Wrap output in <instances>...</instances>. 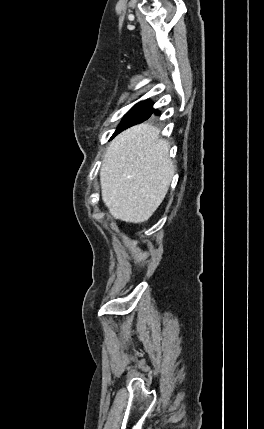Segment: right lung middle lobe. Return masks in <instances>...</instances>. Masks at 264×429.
<instances>
[{
  "mask_svg": "<svg viewBox=\"0 0 264 429\" xmlns=\"http://www.w3.org/2000/svg\"><path fill=\"white\" fill-rule=\"evenodd\" d=\"M152 110V102L146 100L135 105L123 118L114 135L131 124L146 120Z\"/></svg>",
  "mask_w": 264,
  "mask_h": 429,
  "instance_id": "dd1d6c3e",
  "label": "right lung middle lobe"
}]
</instances>
